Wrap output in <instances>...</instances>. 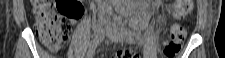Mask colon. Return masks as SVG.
<instances>
[{
    "mask_svg": "<svg viewBox=\"0 0 225 58\" xmlns=\"http://www.w3.org/2000/svg\"><path fill=\"white\" fill-rule=\"evenodd\" d=\"M32 3L37 19L36 29L39 40L50 52L59 51L69 35V25L66 19H79L83 15L84 9L81 1L35 0ZM172 3L173 15L177 19L187 17L193 8L192 0H175ZM184 37V28L178 24L173 25L162 43L164 57L173 58L177 55L183 46ZM137 55L138 53L134 50L123 49L118 51L114 58H137Z\"/></svg>",
    "mask_w": 225,
    "mask_h": 58,
    "instance_id": "colon-1",
    "label": "colon"
}]
</instances>
